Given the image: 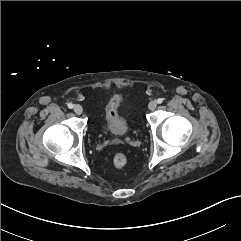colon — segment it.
Listing matches in <instances>:
<instances>
[{"instance_id":"obj_1","label":"colon","mask_w":241,"mask_h":241,"mask_svg":"<svg viewBox=\"0 0 241 241\" xmlns=\"http://www.w3.org/2000/svg\"><path fill=\"white\" fill-rule=\"evenodd\" d=\"M110 110L112 111V108ZM113 163L118 168L124 167L127 164V157L122 153H118L114 156Z\"/></svg>"}]
</instances>
